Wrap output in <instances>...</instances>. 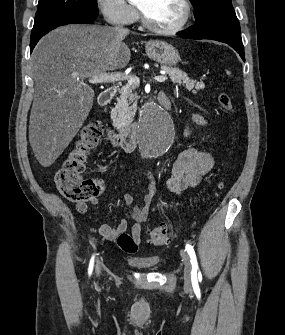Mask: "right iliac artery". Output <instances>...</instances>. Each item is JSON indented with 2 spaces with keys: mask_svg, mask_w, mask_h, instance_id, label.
Segmentation results:
<instances>
[{
  "mask_svg": "<svg viewBox=\"0 0 285 335\" xmlns=\"http://www.w3.org/2000/svg\"><path fill=\"white\" fill-rule=\"evenodd\" d=\"M94 264V256L91 258L90 265H89V275L92 273Z\"/></svg>",
  "mask_w": 285,
  "mask_h": 335,
  "instance_id": "right-iliac-artery-1",
  "label": "right iliac artery"
}]
</instances>
